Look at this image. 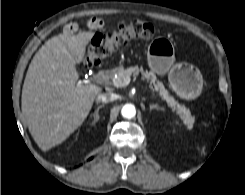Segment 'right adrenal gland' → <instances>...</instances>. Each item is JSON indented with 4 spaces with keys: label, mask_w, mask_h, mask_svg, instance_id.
Segmentation results:
<instances>
[{
    "label": "right adrenal gland",
    "mask_w": 245,
    "mask_h": 195,
    "mask_svg": "<svg viewBox=\"0 0 245 195\" xmlns=\"http://www.w3.org/2000/svg\"><path fill=\"white\" fill-rule=\"evenodd\" d=\"M103 107H104V104L98 106L97 109L95 110V112L91 115L94 117L92 124H94L95 122H97L99 120V110Z\"/></svg>",
    "instance_id": "1"
}]
</instances>
